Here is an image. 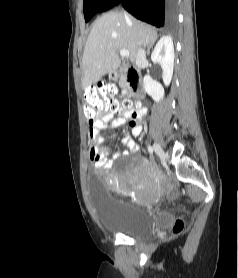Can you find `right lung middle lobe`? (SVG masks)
<instances>
[{
	"mask_svg": "<svg viewBox=\"0 0 238 278\" xmlns=\"http://www.w3.org/2000/svg\"><path fill=\"white\" fill-rule=\"evenodd\" d=\"M105 0H85L84 3V17L88 22L98 11Z\"/></svg>",
	"mask_w": 238,
	"mask_h": 278,
	"instance_id": "dd1d6c3e",
	"label": "right lung middle lobe"
}]
</instances>
